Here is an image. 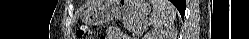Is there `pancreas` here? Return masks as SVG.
Instances as JSON below:
<instances>
[{
    "label": "pancreas",
    "instance_id": "obj_1",
    "mask_svg": "<svg viewBox=\"0 0 249 39\" xmlns=\"http://www.w3.org/2000/svg\"><path fill=\"white\" fill-rule=\"evenodd\" d=\"M123 25L127 30L132 31L135 34H142L144 32V26L142 21L138 20H124Z\"/></svg>",
    "mask_w": 249,
    "mask_h": 39
}]
</instances>
